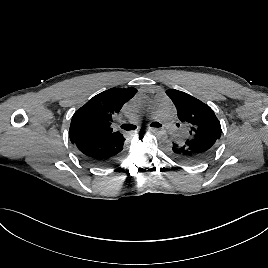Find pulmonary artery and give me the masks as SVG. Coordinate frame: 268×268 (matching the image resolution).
<instances>
[{
    "label": "pulmonary artery",
    "mask_w": 268,
    "mask_h": 268,
    "mask_svg": "<svg viewBox=\"0 0 268 268\" xmlns=\"http://www.w3.org/2000/svg\"><path fill=\"white\" fill-rule=\"evenodd\" d=\"M146 116L161 121L168 129L174 128L173 115L170 110L169 99L166 96H156L152 106L147 110ZM140 119L141 116L137 117L135 121Z\"/></svg>",
    "instance_id": "pulmonary-artery-1"
}]
</instances>
